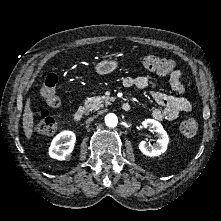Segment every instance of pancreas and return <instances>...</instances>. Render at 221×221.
Wrapping results in <instances>:
<instances>
[{
  "mask_svg": "<svg viewBox=\"0 0 221 221\" xmlns=\"http://www.w3.org/2000/svg\"><path fill=\"white\" fill-rule=\"evenodd\" d=\"M111 101L112 99L107 96H93L85 101L84 108L86 111H96L104 105H109Z\"/></svg>",
  "mask_w": 221,
  "mask_h": 221,
  "instance_id": "cf45deb5",
  "label": "pancreas"
}]
</instances>
